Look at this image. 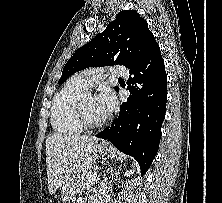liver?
<instances>
[{
  "mask_svg": "<svg viewBox=\"0 0 222 203\" xmlns=\"http://www.w3.org/2000/svg\"><path fill=\"white\" fill-rule=\"evenodd\" d=\"M98 138L77 134L55 133L46 140V164L49 193L74 177L93 168Z\"/></svg>",
  "mask_w": 222,
  "mask_h": 203,
  "instance_id": "liver-1",
  "label": "liver"
}]
</instances>
